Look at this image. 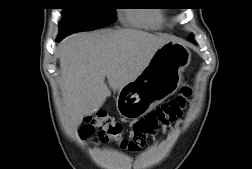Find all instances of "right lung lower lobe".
<instances>
[{"label":"right lung lower lobe","mask_w":252,"mask_h":169,"mask_svg":"<svg viewBox=\"0 0 252 169\" xmlns=\"http://www.w3.org/2000/svg\"><path fill=\"white\" fill-rule=\"evenodd\" d=\"M63 37H65L64 35H59L57 38V41H60Z\"/></svg>","instance_id":"right-lung-lower-lobe-1"}]
</instances>
